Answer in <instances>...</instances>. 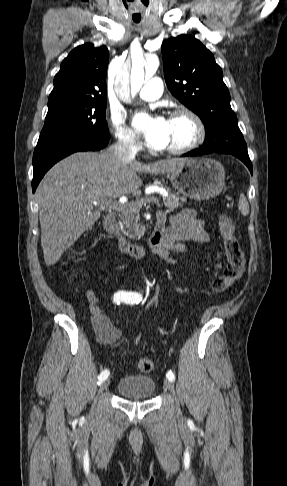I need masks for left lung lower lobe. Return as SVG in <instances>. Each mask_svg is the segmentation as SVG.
Returning <instances> with one entry per match:
<instances>
[{
	"instance_id": "left-lung-lower-lobe-1",
	"label": "left lung lower lobe",
	"mask_w": 287,
	"mask_h": 486,
	"mask_svg": "<svg viewBox=\"0 0 287 486\" xmlns=\"http://www.w3.org/2000/svg\"><path fill=\"white\" fill-rule=\"evenodd\" d=\"M210 153H212V152L207 151V150H202V149H195V150H192V151L184 154L183 156H185V157H189V156H200V155L210 154ZM227 154H231V153H227ZM232 155L236 156L242 162H244L246 164V166L248 167V169L250 170L251 174L253 173L252 163L250 161V158H249L248 154H232Z\"/></svg>"
}]
</instances>
